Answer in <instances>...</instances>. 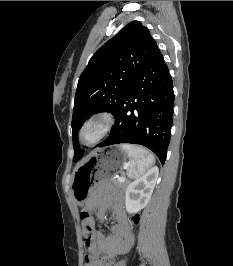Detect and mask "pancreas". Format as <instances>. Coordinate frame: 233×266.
Returning a JSON list of instances; mask_svg holds the SVG:
<instances>
[{
    "mask_svg": "<svg viewBox=\"0 0 233 266\" xmlns=\"http://www.w3.org/2000/svg\"><path fill=\"white\" fill-rule=\"evenodd\" d=\"M113 183L124 188L128 184V181L120 182L118 179L113 178Z\"/></svg>",
    "mask_w": 233,
    "mask_h": 266,
    "instance_id": "obj_1",
    "label": "pancreas"
}]
</instances>
